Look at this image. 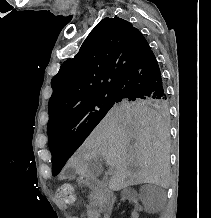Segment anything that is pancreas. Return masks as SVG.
<instances>
[{"label": "pancreas", "instance_id": "1", "mask_svg": "<svg viewBox=\"0 0 211 218\" xmlns=\"http://www.w3.org/2000/svg\"><path fill=\"white\" fill-rule=\"evenodd\" d=\"M96 195L98 196V202L97 200H93V196L91 198V206H98V205H109L111 204V199H107V191L106 190H96L95 191Z\"/></svg>", "mask_w": 211, "mask_h": 218}]
</instances>
